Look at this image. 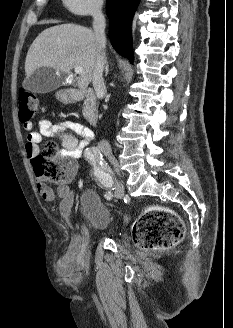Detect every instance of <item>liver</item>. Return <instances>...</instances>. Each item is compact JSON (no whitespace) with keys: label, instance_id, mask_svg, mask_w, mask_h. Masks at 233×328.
Returning <instances> with one entry per match:
<instances>
[{"label":"liver","instance_id":"1","mask_svg":"<svg viewBox=\"0 0 233 328\" xmlns=\"http://www.w3.org/2000/svg\"><path fill=\"white\" fill-rule=\"evenodd\" d=\"M98 49L96 35L89 28L70 23L47 28L28 50L26 77L40 67H51L69 74L72 67L81 66L83 71L77 85L79 89H86L92 80Z\"/></svg>","mask_w":233,"mask_h":328}]
</instances>
